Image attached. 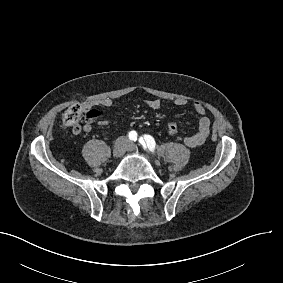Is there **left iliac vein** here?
Listing matches in <instances>:
<instances>
[{"label": "left iliac vein", "mask_w": 283, "mask_h": 283, "mask_svg": "<svg viewBox=\"0 0 283 283\" xmlns=\"http://www.w3.org/2000/svg\"><path fill=\"white\" fill-rule=\"evenodd\" d=\"M136 150V145L131 143L128 147H127V151H135Z\"/></svg>", "instance_id": "4c4485c4"}]
</instances>
